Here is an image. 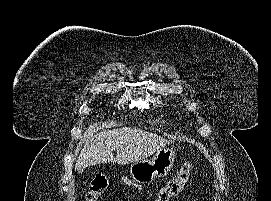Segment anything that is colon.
Listing matches in <instances>:
<instances>
[{
    "label": "colon",
    "instance_id": "1",
    "mask_svg": "<svg viewBox=\"0 0 271 201\" xmlns=\"http://www.w3.org/2000/svg\"><path fill=\"white\" fill-rule=\"evenodd\" d=\"M192 169L191 161L185 162L177 175L169 180L158 192L154 201H170L184 189L188 182ZM108 187V181L104 177H95L85 194V201H97L99 196L104 193Z\"/></svg>",
    "mask_w": 271,
    "mask_h": 201
}]
</instances>
